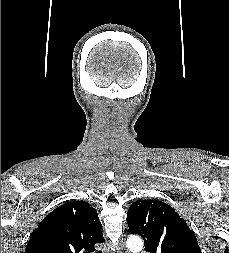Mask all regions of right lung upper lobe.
Segmentation results:
<instances>
[{
    "mask_svg": "<svg viewBox=\"0 0 229 253\" xmlns=\"http://www.w3.org/2000/svg\"><path fill=\"white\" fill-rule=\"evenodd\" d=\"M103 242L97 211L85 201H72L40 222L25 253H91L95 244Z\"/></svg>",
    "mask_w": 229,
    "mask_h": 253,
    "instance_id": "cb5924a9",
    "label": "right lung upper lobe"
}]
</instances>
